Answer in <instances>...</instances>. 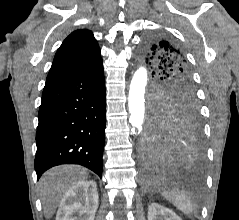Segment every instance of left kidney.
<instances>
[{"label": "left kidney", "mask_w": 239, "mask_h": 220, "mask_svg": "<svg viewBox=\"0 0 239 220\" xmlns=\"http://www.w3.org/2000/svg\"><path fill=\"white\" fill-rule=\"evenodd\" d=\"M148 220H182L172 210L157 203H152L148 207Z\"/></svg>", "instance_id": "5707ae66"}]
</instances>
